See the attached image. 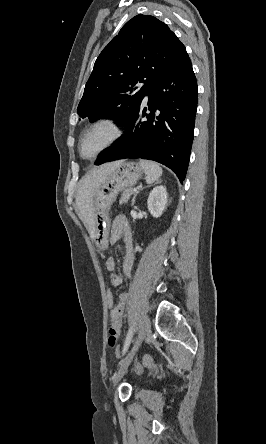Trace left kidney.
Returning <instances> with one entry per match:
<instances>
[{"mask_svg": "<svg viewBox=\"0 0 266 444\" xmlns=\"http://www.w3.org/2000/svg\"><path fill=\"white\" fill-rule=\"evenodd\" d=\"M148 210L154 217L162 215L167 206V191L162 185L153 188L147 201Z\"/></svg>", "mask_w": 266, "mask_h": 444, "instance_id": "obj_1", "label": "left kidney"}]
</instances>
